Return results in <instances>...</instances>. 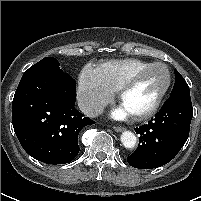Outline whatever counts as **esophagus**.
Wrapping results in <instances>:
<instances>
[{
    "label": "esophagus",
    "mask_w": 201,
    "mask_h": 201,
    "mask_svg": "<svg viewBox=\"0 0 201 201\" xmlns=\"http://www.w3.org/2000/svg\"><path fill=\"white\" fill-rule=\"evenodd\" d=\"M113 129H114V131H116V132H122V131L125 130V128H124V127H121V126H114Z\"/></svg>",
    "instance_id": "34e87169"
}]
</instances>
